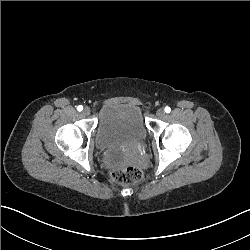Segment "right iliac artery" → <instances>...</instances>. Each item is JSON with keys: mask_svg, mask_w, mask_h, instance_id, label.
I'll list each match as a JSON object with an SVG mask.
<instances>
[{"mask_svg": "<svg viewBox=\"0 0 250 250\" xmlns=\"http://www.w3.org/2000/svg\"><path fill=\"white\" fill-rule=\"evenodd\" d=\"M77 110H78L79 112H81V111L83 110V106H82V105H79V106L77 107Z\"/></svg>", "mask_w": 250, "mask_h": 250, "instance_id": "obj_1", "label": "right iliac artery"}]
</instances>
